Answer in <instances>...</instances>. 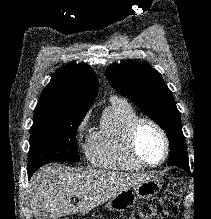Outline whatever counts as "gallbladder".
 <instances>
[{
    "instance_id": "1",
    "label": "gallbladder",
    "mask_w": 211,
    "mask_h": 219,
    "mask_svg": "<svg viewBox=\"0 0 211 219\" xmlns=\"http://www.w3.org/2000/svg\"><path fill=\"white\" fill-rule=\"evenodd\" d=\"M36 219H50L49 214L45 210H41L38 212Z\"/></svg>"
}]
</instances>
